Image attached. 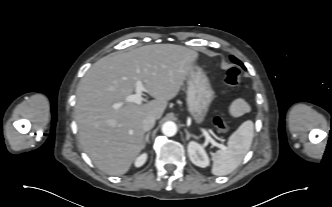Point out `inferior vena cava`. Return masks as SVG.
<instances>
[{
	"label": "inferior vena cava",
	"mask_w": 332,
	"mask_h": 207,
	"mask_svg": "<svg viewBox=\"0 0 332 207\" xmlns=\"http://www.w3.org/2000/svg\"><path fill=\"white\" fill-rule=\"evenodd\" d=\"M155 117L154 116H147L143 119L142 127L144 131L151 130L155 125Z\"/></svg>",
	"instance_id": "inferior-vena-cava-1"
}]
</instances>
